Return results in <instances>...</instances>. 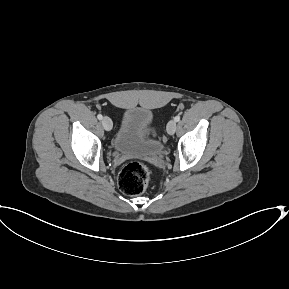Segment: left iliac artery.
I'll return each mask as SVG.
<instances>
[{
    "label": "left iliac artery",
    "instance_id": "left-iliac-artery-1",
    "mask_svg": "<svg viewBox=\"0 0 289 289\" xmlns=\"http://www.w3.org/2000/svg\"><path fill=\"white\" fill-rule=\"evenodd\" d=\"M174 120H175L176 122L180 121V116L177 115V116L174 118Z\"/></svg>",
    "mask_w": 289,
    "mask_h": 289
}]
</instances>
